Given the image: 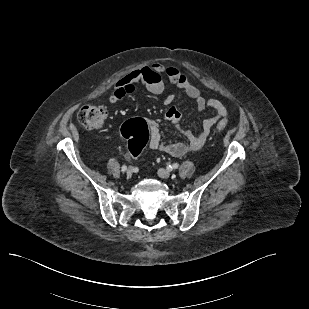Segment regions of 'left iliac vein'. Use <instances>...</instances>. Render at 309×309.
Masks as SVG:
<instances>
[{
    "mask_svg": "<svg viewBox=\"0 0 309 309\" xmlns=\"http://www.w3.org/2000/svg\"><path fill=\"white\" fill-rule=\"evenodd\" d=\"M157 173H158V176L163 178V179H168L171 175L168 170L163 169V168L159 169Z\"/></svg>",
    "mask_w": 309,
    "mask_h": 309,
    "instance_id": "4c4485c4",
    "label": "left iliac vein"
}]
</instances>
